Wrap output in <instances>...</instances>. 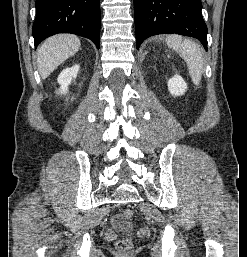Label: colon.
Returning <instances> with one entry per match:
<instances>
[{
	"instance_id": "5ec220e1",
	"label": "colon",
	"mask_w": 247,
	"mask_h": 257,
	"mask_svg": "<svg viewBox=\"0 0 247 257\" xmlns=\"http://www.w3.org/2000/svg\"><path fill=\"white\" fill-rule=\"evenodd\" d=\"M123 218L126 220H130L134 217V212L132 209H125L123 211ZM132 241L130 239H120L116 243V249L120 253H128L132 249Z\"/></svg>"
}]
</instances>
